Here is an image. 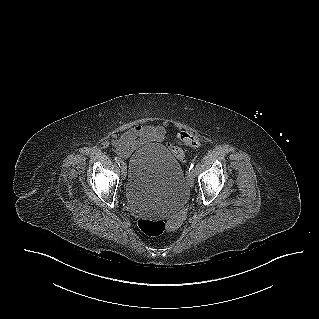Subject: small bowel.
Here are the masks:
<instances>
[{"mask_svg":"<svg viewBox=\"0 0 319 319\" xmlns=\"http://www.w3.org/2000/svg\"><path fill=\"white\" fill-rule=\"evenodd\" d=\"M179 130H176V135ZM168 137L167 130L162 126L139 124L124 133L120 131L112 132L108 136L107 144L112 151L126 159L138 148L150 142H164Z\"/></svg>","mask_w":319,"mask_h":319,"instance_id":"c3829d8e","label":"small bowel"}]
</instances>
